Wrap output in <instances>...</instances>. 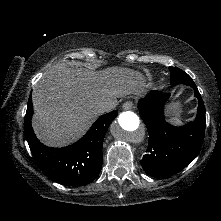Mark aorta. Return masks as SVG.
I'll return each mask as SVG.
<instances>
[{"label":"aorta","mask_w":221,"mask_h":221,"mask_svg":"<svg viewBox=\"0 0 221 221\" xmlns=\"http://www.w3.org/2000/svg\"><path fill=\"white\" fill-rule=\"evenodd\" d=\"M110 131L115 138L133 144L142 142L145 136L139 117L132 111L121 112L111 124Z\"/></svg>","instance_id":"1"}]
</instances>
